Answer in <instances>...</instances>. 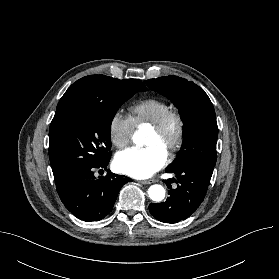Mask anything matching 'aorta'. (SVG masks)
<instances>
[{"label": "aorta", "instance_id": "aorta-1", "mask_svg": "<svg viewBox=\"0 0 279 279\" xmlns=\"http://www.w3.org/2000/svg\"><path fill=\"white\" fill-rule=\"evenodd\" d=\"M133 141L137 145H143V143H144V135H143L142 131H137L133 135ZM148 194H149V197L153 201L160 202L165 197V189H164L163 186L155 184V185L150 186V188L148 189Z\"/></svg>", "mask_w": 279, "mask_h": 279}]
</instances>
